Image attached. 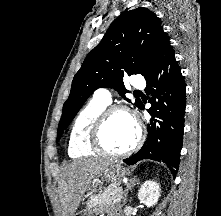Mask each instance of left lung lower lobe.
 Instances as JSON below:
<instances>
[{"label": "left lung lower lobe", "mask_w": 221, "mask_h": 216, "mask_svg": "<svg viewBox=\"0 0 221 216\" xmlns=\"http://www.w3.org/2000/svg\"><path fill=\"white\" fill-rule=\"evenodd\" d=\"M144 77L145 92L151 95L152 104L147 110L151 115L148 137L143 147L124 162L133 165L142 159L163 161L175 176L183 140L186 86L169 41Z\"/></svg>", "instance_id": "obj_1"}]
</instances>
